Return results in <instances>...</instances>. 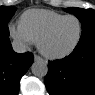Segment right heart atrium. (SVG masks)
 I'll return each instance as SVG.
<instances>
[{"mask_svg":"<svg viewBox=\"0 0 95 95\" xmlns=\"http://www.w3.org/2000/svg\"><path fill=\"white\" fill-rule=\"evenodd\" d=\"M9 32L11 37L21 47L26 48L34 43L33 40L29 37V35L22 28L20 23H11L9 25Z\"/></svg>","mask_w":95,"mask_h":95,"instance_id":"obj_1","label":"right heart atrium"}]
</instances>
